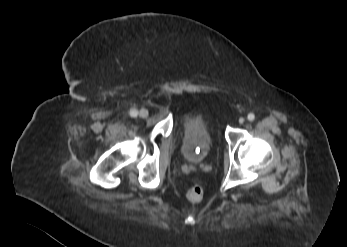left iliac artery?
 <instances>
[{
  "instance_id": "obj_1",
  "label": "left iliac artery",
  "mask_w": 347,
  "mask_h": 247,
  "mask_svg": "<svg viewBox=\"0 0 347 247\" xmlns=\"http://www.w3.org/2000/svg\"><path fill=\"white\" fill-rule=\"evenodd\" d=\"M247 119L249 121H253L255 119V115L253 113H249L248 116H247Z\"/></svg>"
}]
</instances>
